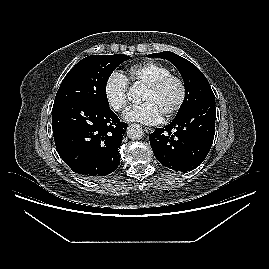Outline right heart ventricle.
Returning <instances> with one entry per match:
<instances>
[{
	"mask_svg": "<svg viewBox=\"0 0 269 269\" xmlns=\"http://www.w3.org/2000/svg\"><path fill=\"white\" fill-rule=\"evenodd\" d=\"M170 73L171 69L167 65L156 61H146L132 66L128 71V79L133 84L148 86Z\"/></svg>",
	"mask_w": 269,
	"mask_h": 269,
	"instance_id": "e07e8e85",
	"label": "right heart ventricle"
}]
</instances>
